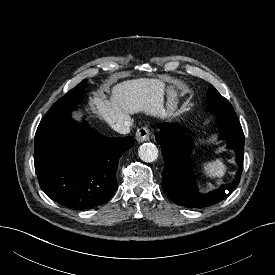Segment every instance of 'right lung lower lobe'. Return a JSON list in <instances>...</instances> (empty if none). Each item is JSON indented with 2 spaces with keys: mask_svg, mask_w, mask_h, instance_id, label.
<instances>
[{
  "mask_svg": "<svg viewBox=\"0 0 275 275\" xmlns=\"http://www.w3.org/2000/svg\"><path fill=\"white\" fill-rule=\"evenodd\" d=\"M75 108L41 120L34 140V165L48 197L84 210L107 202L117 190L118 161L133 146L134 138L104 137L85 121H73Z\"/></svg>",
  "mask_w": 275,
  "mask_h": 275,
  "instance_id": "obj_1",
  "label": "right lung lower lobe"
}]
</instances>
